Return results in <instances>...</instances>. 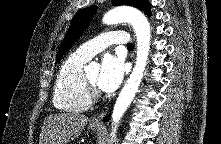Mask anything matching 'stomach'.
I'll use <instances>...</instances> for the list:
<instances>
[{
  "label": "stomach",
  "mask_w": 221,
  "mask_h": 144,
  "mask_svg": "<svg viewBox=\"0 0 221 144\" xmlns=\"http://www.w3.org/2000/svg\"><path fill=\"white\" fill-rule=\"evenodd\" d=\"M90 129L95 132H99L102 129V125H92L90 124Z\"/></svg>",
  "instance_id": "1"
}]
</instances>
